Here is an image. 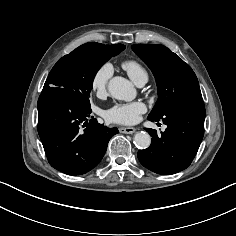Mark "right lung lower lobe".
<instances>
[{
    "mask_svg": "<svg viewBox=\"0 0 236 236\" xmlns=\"http://www.w3.org/2000/svg\"><path fill=\"white\" fill-rule=\"evenodd\" d=\"M38 133L48 162L68 175L89 172L103 158L117 128L91 116L90 106L61 88L43 89L37 103Z\"/></svg>",
    "mask_w": 236,
    "mask_h": 236,
    "instance_id": "1",
    "label": "right lung lower lobe"
}]
</instances>
